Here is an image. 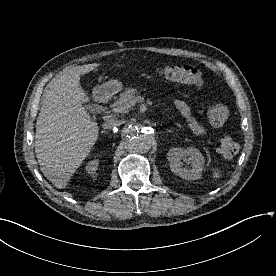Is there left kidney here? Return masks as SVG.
Returning <instances> with one entry per match:
<instances>
[{
	"label": "left kidney",
	"mask_w": 276,
	"mask_h": 276,
	"mask_svg": "<svg viewBox=\"0 0 276 276\" xmlns=\"http://www.w3.org/2000/svg\"><path fill=\"white\" fill-rule=\"evenodd\" d=\"M171 171L186 180H197L202 176L204 157L195 147L171 148L167 154ZM188 158L190 167H183L181 159Z\"/></svg>",
	"instance_id": "5707ae66"
}]
</instances>
